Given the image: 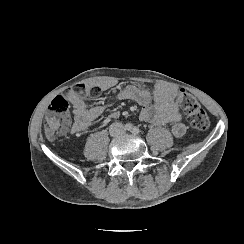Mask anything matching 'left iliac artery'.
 Segmentation results:
<instances>
[{
    "label": "left iliac artery",
    "instance_id": "left-iliac-artery-1",
    "mask_svg": "<svg viewBox=\"0 0 244 244\" xmlns=\"http://www.w3.org/2000/svg\"><path fill=\"white\" fill-rule=\"evenodd\" d=\"M139 132H140V130H139V128H137V127H134V128L132 129V133L135 134V135L139 134Z\"/></svg>",
    "mask_w": 244,
    "mask_h": 244
}]
</instances>
